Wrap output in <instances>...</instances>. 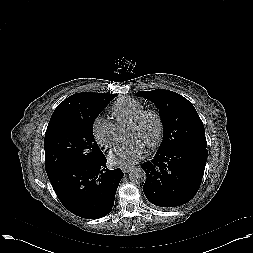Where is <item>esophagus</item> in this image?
Masks as SVG:
<instances>
[{"label":"esophagus","instance_id":"obj_1","mask_svg":"<svg viewBox=\"0 0 253 253\" xmlns=\"http://www.w3.org/2000/svg\"><path fill=\"white\" fill-rule=\"evenodd\" d=\"M132 170V167L128 166V167H122V171L124 173H129Z\"/></svg>","mask_w":253,"mask_h":253}]
</instances>
